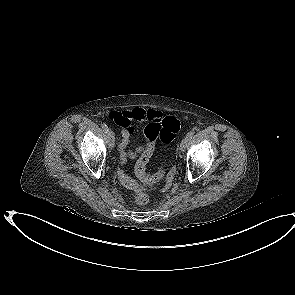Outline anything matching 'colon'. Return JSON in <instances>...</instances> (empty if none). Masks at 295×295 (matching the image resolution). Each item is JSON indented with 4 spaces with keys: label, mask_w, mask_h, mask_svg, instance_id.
Masks as SVG:
<instances>
[{
    "label": "colon",
    "mask_w": 295,
    "mask_h": 295,
    "mask_svg": "<svg viewBox=\"0 0 295 295\" xmlns=\"http://www.w3.org/2000/svg\"><path fill=\"white\" fill-rule=\"evenodd\" d=\"M180 127L181 122L172 116L151 122L145 127V136L149 138V143L145 145L144 151L135 165V173L143 183L153 184L164 177L165 170L163 167L157 173L150 175L146 170L147 164L149 159L153 157V151L158 143V138L164 145H168L179 132ZM133 200L135 204L142 206L148 203L149 197L144 191L137 189L134 191Z\"/></svg>",
    "instance_id": "colon-1"
}]
</instances>
